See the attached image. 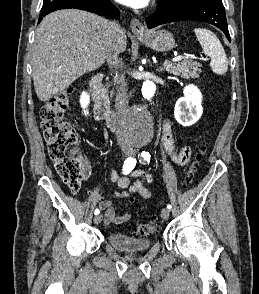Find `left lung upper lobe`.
Returning <instances> with one entry per match:
<instances>
[{"mask_svg": "<svg viewBox=\"0 0 259 294\" xmlns=\"http://www.w3.org/2000/svg\"><path fill=\"white\" fill-rule=\"evenodd\" d=\"M191 0H158V9L159 10H166L173 8L175 6L184 4L186 2H189Z\"/></svg>", "mask_w": 259, "mask_h": 294, "instance_id": "5c2ea615", "label": "left lung upper lobe"}]
</instances>
